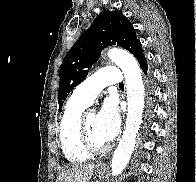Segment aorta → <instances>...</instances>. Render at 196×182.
I'll return each instance as SVG.
<instances>
[{
    "instance_id": "aorta-1",
    "label": "aorta",
    "mask_w": 196,
    "mask_h": 182,
    "mask_svg": "<svg viewBox=\"0 0 196 182\" xmlns=\"http://www.w3.org/2000/svg\"><path fill=\"white\" fill-rule=\"evenodd\" d=\"M107 56L121 68L127 88L128 110L125 130L112 158V175H119L128 164L136 143L144 109V84L135 58L120 49H111Z\"/></svg>"
}]
</instances>
